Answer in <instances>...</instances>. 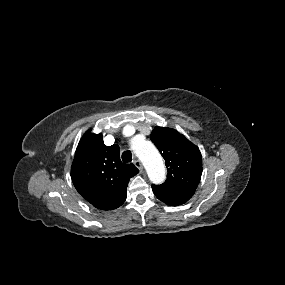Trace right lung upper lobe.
<instances>
[{
  "label": "right lung upper lobe",
  "mask_w": 285,
  "mask_h": 285,
  "mask_svg": "<svg viewBox=\"0 0 285 285\" xmlns=\"http://www.w3.org/2000/svg\"><path fill=\"white\" fill-rule=\"evenodd\" d=\"M120 160V149L106 146L102 134L87 131L81 138L71 166L72 182L92 206L113 210L126 200L129 179L138 173Z\"/></svg>",
  "instance_id": "right-lung-upper-lobe-1"
}]
</instances>
